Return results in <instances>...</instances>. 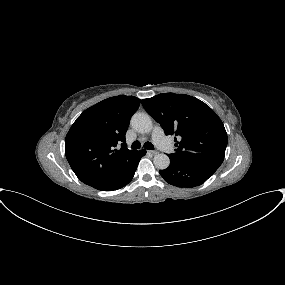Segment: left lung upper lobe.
<instances>
[{"instance_id":"5c2ea615","label":"left lung upper lobe","mask_w":285,"mask_h":285,"mask_svg":"<svg viewBox=\"0 0 285 285\" xmlns=\"http://www.w3.org/2000/svg\"><path fill=\"white\" fill-rule=\"evenodd\" d=\"M145 110L166 135L175 134L177 150L171 158L219 168L224 160L227 133L218 115L204 102L185 95L165 93L142 100Z\"/></svg>"}]
</instances>
